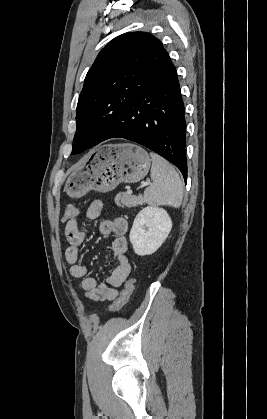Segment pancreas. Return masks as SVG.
I'll return each mask as SVG.
<instances>
[{
	"mask_svg": "<svg viewBox=\"0 0 267 419\" xmlns=\"http://www.w3.org/2000/svg\"><path fill=\"white\" fill-rule=\"evenodd\" d=\"M144 200L141 196H134L128 193L120 192L115 197V204L119 207H136L143 205Z\"/></svg>",
	"mask_w": 267,
	"mask_h": 419,
	"instance_id": "pancreas-1",
	"label": "pancreas"
}]
</instances>
